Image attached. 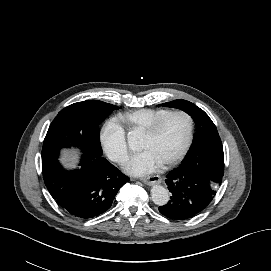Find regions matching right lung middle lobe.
<instances>
[{"mask_svg":"<svg viewBox=\"0 0 271 271\" xmlns=\"http://www.w3.org/2000/svg\"><path fill=\"white\" fill-rule=\"evenodd\" d=\"M117 109V106L97 100L74 103L62 109L44 139L42 160L57 157L61 148L70 146L102 155L99 125Z\"/></svg>","mask_w":271,"mask_h":271,"instance_id":"obj_1","label":"right lung middle lobe"}]
</instances>
